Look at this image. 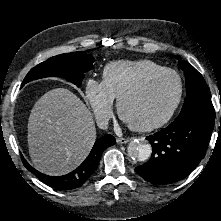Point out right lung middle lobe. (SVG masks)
<instances>
[{
    "label": "right lung middle lobe",
    "instance_id": "dd1d6c3e",
    "mask_svg": "<svg viewBox=\"0 0 221 221\" xmlns=\"http://www.w3.org/2000/svg\"><path fill=\"white\" fill-rule=\"evenodd\" d=\"M95 59L84 52L64 53L46 60L29 71L23 80L22 86L27 82L44 77L58 76L71 81L78 87Z\"/></svg>",
    "mask_w": 221,
    "mask_h": 221
}]
</instances>
